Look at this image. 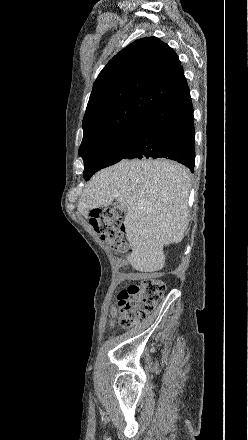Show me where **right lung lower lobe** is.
Returning a JSON list of instances; mask_svg holds the SVG:
<instances>
[{"label": "right lung lower lobe", "mask_w": 248, "mask_h": 440, "mask_svg": "<svg viewBox=\"0 0 248 440\" xmlns=\"http://www.w3.org/2000/svg\"><path fill=\"white\" fill-rule=\"evenodd\" d=\"M127 129L130 143L123 159L169 158L193 172L195 130L190 92L149 111Z\"/></svg>", "instance_id": "right-lung-lower-lobe-1"}]
</instances>
